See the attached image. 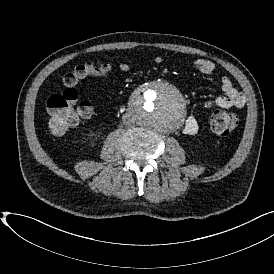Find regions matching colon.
<instances>
[{"label":"colon","instance_id":"5ec220e1","mask_svg":"<svg viewBox=\"0 0 274 274\" xmlns=\"http://www.w3.org/2000/svg\"><path fill=\"white\" fill-rule=\"evenodd\" d=\"M86 70L87 75L97 72L95 63L76 66ZM66 90L62 94H53L47 100V109L52 115L49 121V130L55 136H61L70 128L76 126L82 119H88L93 112L91 103L87 100H78L80 86L65 84ZM237 115L224 110L216 111L211 117V129L219 136H227L237 126Z\"/></svg>","mask_w":274,"mask_h":274}]
</instances>
